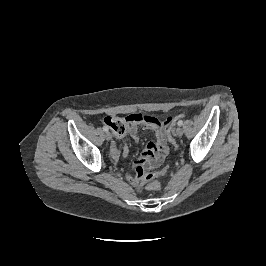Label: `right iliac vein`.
Here are the masks:
<instances>
[{
  "instance_id": "obj_1",
  "label": "right iliac vein",
  "mask_w": 266,
  "mask_h": 266,
  "mask_svg": "<svg viewBox=\"0 0 266 266\" xmlns=\"http://www.w3.org/2000/svg\"><path fill=\"white\" fill-rule=\"evenodd\" d=\"M105 139L107 140V141H110L111 139H112V135H111V133L110 132H106L105 133Z\"/></svg>"
}]
</instances>
